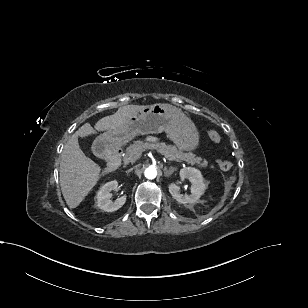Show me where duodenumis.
<instances>
[{
  "label": "duodenum",
  "mask_w": 308,
  "mask_h": 308,
  "mask_svg": "<svg viewBox=\"0 0 308 308\" xmlns=\"http://www.w3.org/2000/svg\"><path fill=\"white\" fill-rule=\"evenodd\" d=\"M98 153L108 161L109 169L115 170L120 165L123 150L116 145L101 146Z\"/></svg>",
  "instance_id": "duodenum-1"
}]
</instances>
